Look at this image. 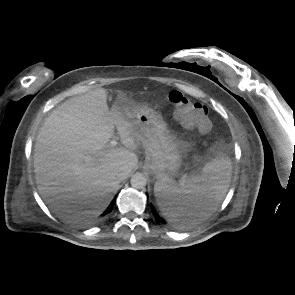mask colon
<instances>
[{
    "label": "colon",
    "mask_w": 295,
    "mask_h": 295,
    "mask_svg": "<svg viewBox=\"0 0 295 295\" xmlns=\"http://www.w3.org/2000/svg\"><path fill=\"white\" fill-rule=\"evenodd\" d=\"M168 100L174 107L175 116L183 125L196 128L202 133L211 129V121L205 106L193 102L179 91H171Z\"/></svg>",
    "instance_id": "5ec220e1"
}]
</instances>
